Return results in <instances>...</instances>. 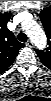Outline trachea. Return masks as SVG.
Returning a JSON list of instances; mask_svg holds the SVG:
<instances>
[{"label": "trachea", "instance_id": "3493384b", "mask_svg": "<svg viewBox=\"0 0 51 101\" xmlns=\"http://www.w3.org/2000/svg\"><path fill=\"white\" fill-rule=\"evenodd\" d=\"M18 39H19V41H21V42H26L27 41V39H28V37H27V35L25 34V33H19V35H18Z\"/></svg>", "mask_w": 51, "mask_h": 101}]
</instances>
